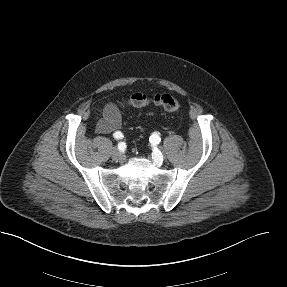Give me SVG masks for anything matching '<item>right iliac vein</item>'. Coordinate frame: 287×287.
Segmentation results:
<instances>
[{
    "instance_id": "right-iliac-vein-1",
    "label": "right iliac vein",
    "mask_w": 287,
    "mask_h": 287,
    "mask_svg": "<svg viewBox=\"0 0 287 287\" xmlns=\"http://www.w3.org/2000/svg\"><path fill=\"white\" fill-rule=\"evenodd\" d=\"M111 156L114 160H118V159H121L122 153L119 149L113 148V150L111 152Z\"/></svg>"
}]
</instances>
